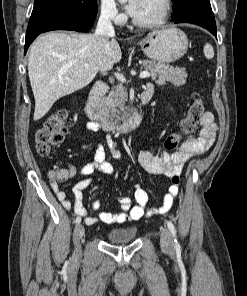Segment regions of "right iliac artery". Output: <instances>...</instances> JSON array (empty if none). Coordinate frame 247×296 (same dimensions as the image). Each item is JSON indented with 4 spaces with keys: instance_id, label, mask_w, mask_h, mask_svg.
Segmentation results:
<instances>
[{
    "instance_id": "right-iliac-artery-1",
    "label": "right iliac artery",
    "mask_w": 247,
    "mask_h": 296,
    "mask_svg": "<svg viewBox=\"0 0 247 296\" xmlns=\"http://www.w3.org/2000/svg\"><path fill=\"white\" fill-rule=\"evenodd\" d=\"M80 222H81V217H77L76 220H75V223L79 224Z\"/></svg>"
}]
</instances>
